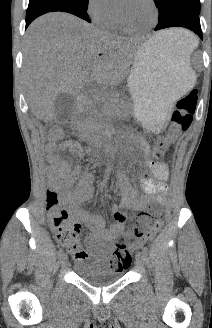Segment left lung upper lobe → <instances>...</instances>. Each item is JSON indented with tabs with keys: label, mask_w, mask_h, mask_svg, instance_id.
Segmentation results:
<instances>
[{
	"label": "left lung upper lobe",
	"mask_w": 212,
	"mask_h": 328,
	"mask_svg": "<svg viewBox=\"0 0 212 328\" xmlns=\"http://www.w3.org/2000/svg\"><path fill=\"white\" fill-rule=\"evenodd\" d=\"M154 2L159 10V19H162L175 5H184L197 14L200 13V0H154Z\"/></svg>",
	"instance_id": "1"
}]
</instances>
